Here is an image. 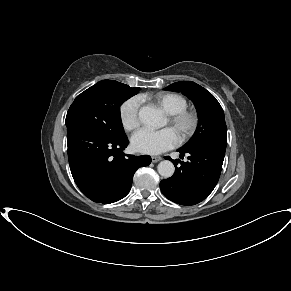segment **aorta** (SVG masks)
<instances>
[{
  "mask_svg": "<svg viewBox=\"0 0 291 291\" xmlns=\"http://www.w3.org/2000/svg\"><path fill=\"white\" fill-rule=\"evenodd\" d=\"M138 117L140 122L148 128H160L163 126V116L160 110L152 106H143L140 108ZM158 173L164 178L173 176L175 167L169 160H163L158 164Z\"/></svg>",
  "mask_w": 291,
  "mask_h": 291,
  "instance_id": "1",
  "label": "aorta"
}]
</instances>
